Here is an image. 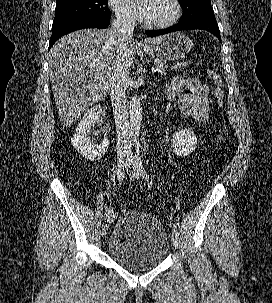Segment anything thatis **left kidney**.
<instances>
[{
  "mask_svg": "<svg viewBox=\"0 0 272 303\" xmlns=\"http://www.w3.org/2000/svg\"><path fill=\"white\" fill-rule=\"evenodd\" d=\"M173 151L177 156H188L195 150L197 137L190 129L179 130L171 140Z\"/></svg>",
  "mask_w": 272,
  "mask_h": 303,
  "instance_id": "5707ae66",
  "label": "left kidney"
}]
</instances>
